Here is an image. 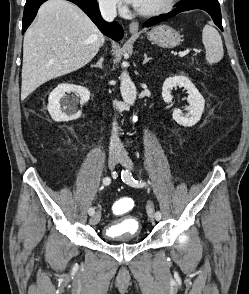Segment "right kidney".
Segmentation results:
<instances>
[{"label":"right kidney","instance_id":"obj_1","mask_svg":"<svg viewBox=\"0 0 249 294\" xmlns=\"http://www.w3.org/2000/svg\"><path fill=\"white\" fill-rule=\"evenodd\" d=\"M74 92L80 97V104L87 103L90 92L87 88L73 84H59L49 95L48 112L52 119L57 122L71 121L80 117L81 111H76L75 100L64 97L65 93Z\"/></svg>","mask_w":249,"mask_h":294}]
</instances>
